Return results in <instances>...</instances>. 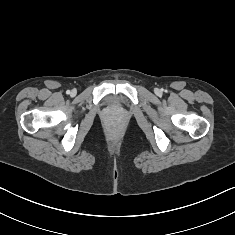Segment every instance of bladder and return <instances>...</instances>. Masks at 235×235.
Segmentation results:
<instances>
[{
  "label": "bladder",
  "instance_id": "obj_1",
  "mask_svg": "<svg viewBox=\"0 0 235 235\" xmlns=\"http://www.w3.org/2000/svg\"><path fill=\"white\" fill-rule=\"evenodd\" d=\"M123 97L120 95H115V96H111L109 97V104L111 106H115L116 104L120 103L122 101Z\"/></svg>",
  "mask_w": 235,
  "mask_h": 235
}]
</instances>
